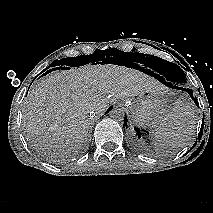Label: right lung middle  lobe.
<instances>
[{"label":"right lung middle lobe","instance_id":"right-lung-middle-lobe-1","mask_svg":"<svg viewBox=\"0 0 213 213\" xmlns=\"http://www.w3.org/2000/svg\"><path fill=\"white\" fill-rule=\"evenodd\" d=\"M122 53H125V52H122L115 48H113V49L110 48L107 50H96L91 55H82V56L73 57V58L55 60L49 67H58V66H62V65L76 67V66H81V65L88 63V60H89L88 57H92L93 59H95V61L98 58H102V59H105V58L114 59L115 58L116 59Z\"/></svg>","mask_w":213,"mask_h":213}]
</instances>
